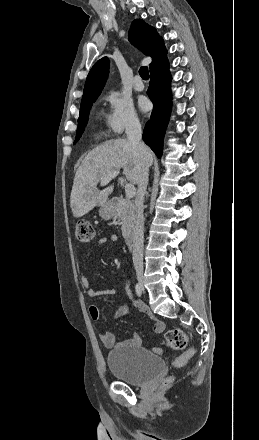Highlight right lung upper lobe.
I'll return each instance as SVG.
<instances>
[{
	"label": "right lung upper lobe",
	"instance_id": "obj_1",
	"mask_svg": "<svg viewBox=\"0 0 259 440\" xmlns=\"http://www.w3.org/2000/svg\"><path fill=\"white\" fill-rule=\"evenodd\" d=\"M129 41L144 54L152 57L150 70L166 58L167 51L163 39L155 28L146 24L142 19H136L132 22L129 30ZM108 74L109 59L103 57L94 64L87 76L82 102L97 99L105 85Z\"/></svg>",
	"mask_w": 259,
	"mask_h": 440
}]
</instances>
